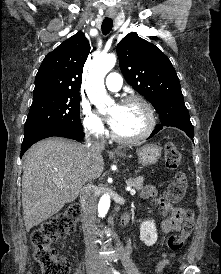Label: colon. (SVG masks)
I'll return each instance as SVG.
<instances>
[{"mask_svg": "<svg viewBox=\"0 0 221 274\" xmlns=\"http://www.w3.org/2000/svg\"><path fill=\"white\" fill-rule=\"evenodd\" d=\"M165 164L170 172H175L174 180L169 184L164 198L169 203L180 201L187 190V177L182 171H177L181 154L173 142H167L164 147ZM80 216L78 205H71L64 212L44 222L32 231L30 241L34 248L33 256L38 263L42 274H69V262L57 254L52 244L71 235ZM193 229V213L190 209L185 212V221L181 233L173 234L168 239V248L172 251L179 250L185 239Z\"/></svg>", "mask_w": 221, "mask_h": 274, "instance_id": "1", "label": "colon"}]
</instances>
